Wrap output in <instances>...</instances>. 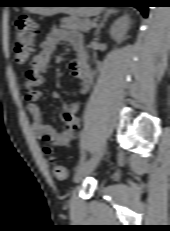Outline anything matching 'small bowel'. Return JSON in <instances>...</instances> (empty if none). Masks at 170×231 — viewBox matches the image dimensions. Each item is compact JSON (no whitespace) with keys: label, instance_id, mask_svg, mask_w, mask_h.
Listing matches in <instances>:
<instances>
[{"label":"small bowel","instance_id":"obj_1","mask_svg":"<svg viewBox=\"0 0 170 231\" xmlns=\"http://www.w3.org/2000/svg\"><path fill=\"white\" fill-rule=\"evenodd\" d=\"M61 43H69L77 52V58L69 64L71 75L80 82L81 94H86L93 82L91 71L86 62L83 37L74 31L54 28L41 43V50L32 59V66L28 71L30 77L23 83V90L27 101V110L32 116L31 129L35 135L55 146L68 147L74 137V132L79 126L77 116L79 103H72L63 108L61 121L64 125L62 131H57L53 126L43 122L41 110L37 104L41 93L36 88L42 84V74L48 69L52 55ZM58 97L57 93L53 94Z\"/></svg>","mask_w":170,"mask_h":231}]
</instances>
